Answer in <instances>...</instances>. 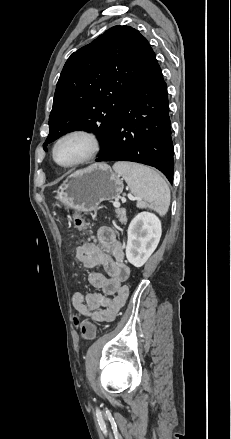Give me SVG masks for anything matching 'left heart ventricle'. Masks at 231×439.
I'll use <instances>...</instances> for the list:
<instances>
[{
	"label": "left heart ventricle",
	"mask_w": 231,
	"mask_h": 439,
	"mask_svg": "<svg viewBox=\"0 0 231 439\" xmlns=\"http://www.w3.org/2000/svg\"><path fill=\"white\" fill-rule=\"evenodd\" d=\"M90 148L91 144L88 139L82 136H72L59 144L56 157L61 164H69L84 157Z\"/></svg>",
	"instance_id": "obj_1"
}]
</instances>
